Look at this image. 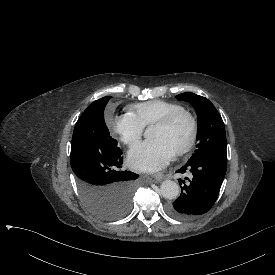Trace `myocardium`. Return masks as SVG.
<instances>
[{
  "label": "myocardium",
  "mask_w": 275,
  "mask_h": 275,
  "mask_svg": "<svg viewBox=\"0 0 275 275\" xmlns=\"http://www.w3.org/2000/svg\"><path fill=\"white\" fill-rule=\"evenodd\" d=\"M182 118L187 119L189 123V131L185 142L175 149L174 153L176 155H183L190 151L194 146L198 133V125L196 118L190 112L182 110L169 114L168 116H166L165 118H163L155 124V126L170 129L176 124L177 121H179Z\"/></svg>",
  "instance_id": "myocardium-1"
}]
</instances>
